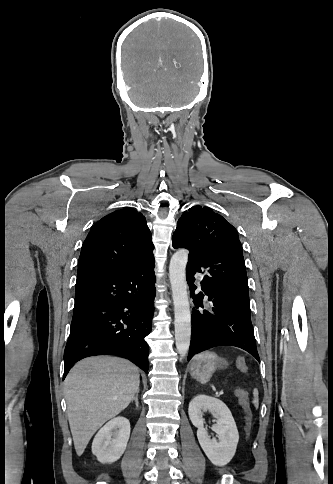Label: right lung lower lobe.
<instances>
[{
	"label": "right lung lower lobe",
	"instance_id": "obj_1",
	"mask_svg": "<svg viewBox=\"0 0 333 484\" xmlns=\"http://www.w3.org/2000/svg\"><path fill=\"white\" fill-rule=\"evenodd\" d=\"M154 260L130 270L92 271L77 276L64 377L77 361L94 355L130 359L148 372L154 313Z\"/></svg>",
	"mask_w": 333,
	"mask_h": 484
}]
</instances>
